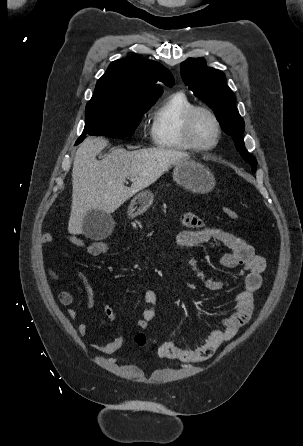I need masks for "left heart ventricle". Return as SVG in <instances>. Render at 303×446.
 <instances>
[{"label": "left heart ventricle", "mask_w": 303, "mask_h": 446, "mask_svg": "<svg viewBox=\"0 0 303 446\" xmlns=\"http://www.w3.org/2000/svg\"><path fill=\"white\" fill-rule=\"evenodd\" d=\"M192 136L201 146L211 145L216 137V129L212 119L205 113L196 114L192 123Z\"/></svg>", "instance_id": "left-heart-ventricle-1"}]
</instances>
